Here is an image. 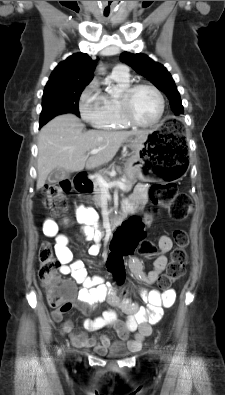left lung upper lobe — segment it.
Wrapping results in <instances>:
<instances>
[{"label":"left lung upper lobe","instance_id":"left-lung-upper-lobe-1","mask_svg":"<svg viewBox=\"0 0 225 395\" xmlns=\"http://www.w3.org/2000/svg\"><path fill=\"white\" fill-rule=\"evenodd\" d=\"M122 62L130 65L137 73L150 80L154 86L164 92L169 99L170 106L176 115L184 112L180 94L176 88L175 82L167 69L154 62L144 54H132L123 52L120 55Z\"/></svg>","mask_w":225,"mask_h":395}]
</instances>
